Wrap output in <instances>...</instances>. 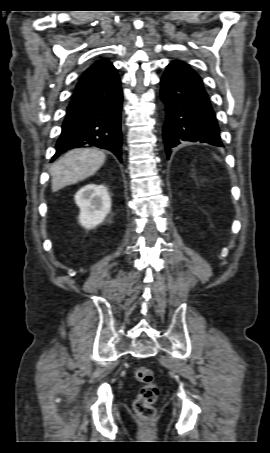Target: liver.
<instances>
[{"mask_svg": "<svg viewBox=\"0 0 270 453\" xmlns=\"http://www.w3.org/2000/svg\"><path fill=\"white\" fill-rule=\"evenodd\" d=\"M106 159L105 154L93 148L74 149L67 152L50 168L52 192L75 184L95 174Z\"/></svg>", "mask_w": 270, "mask_h": 453, "instance_id": "obj_1", "label": "liver"}]
</instances>
